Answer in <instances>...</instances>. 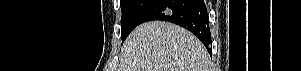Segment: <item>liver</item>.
I'll return each instance as SVG.
<instances>
[{
    "mask_svg": "<svg viewBox=\"0 0 301 71\" xmlns=\"http://www.w3.org/2000/svg\"><path fill=\"white\" fill-rule=\"evenodd\" d=\"M120 71H209L210 57L191 32L153 21L137 26L121 51Z\"/></svg>",
    "mask_w": 301,
    "mask_h": 71,
    "instance_id": "6515ba94",
    "label": "liver"
}]
</instances>
